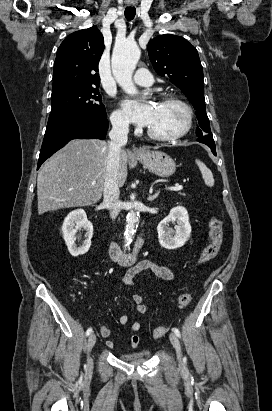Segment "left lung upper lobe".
Returning a JSON list of instances; mask_svg holds the SVG:
<instances>
[{
  "label": "left lung upper lobe",
  "instance_id": "left-lung-upper-lobe-1",
  "mask_svg": "<svg viewBox=\"0 0 272 411\" xmlns=\"http://www.w3.org/2000/svg\"><path fill=\"white\" fill-rule=\"evenodd\" d=\"M148 54L155 71L180 88L196 110V135L211 133L204 98L203 68L198 52L186 39L164 34L151 40Z\"/></svg>",
  "mask_w": 272,
  "mask_h": 411
}]
</instances>
